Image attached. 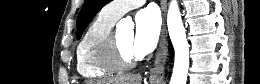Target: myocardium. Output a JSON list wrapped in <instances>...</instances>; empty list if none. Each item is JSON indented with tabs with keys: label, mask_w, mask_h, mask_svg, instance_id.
<instances>
[{
	"label": "myocardium",
	"mask_w": 260,
	"mask_h": 84,
	"mask_svg": "<svg viewBox=\"0 0 260 84\" xmlns=\"http://www.w3.org/2000/svg\"><path fill=\"white\" fill-rule=\"evenodd\" d=\"M101 60L108 69L123 71L135 67L140 57L126 56L120 49L114 33L110 30L101 44Z\"/></svg>",
	"instance_id": "obj_1"
}]
</instances>
